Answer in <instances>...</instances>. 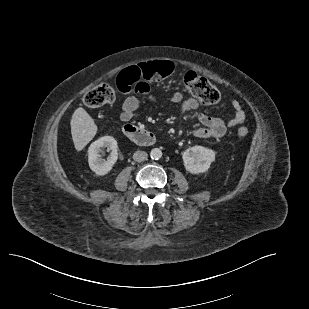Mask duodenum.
Masks as SVG:
<instances>
[{
    "mask_svg": "<svg viewBox=\"0 0 309 309\" xmlns=\"http://www.w3.org/2000/svg\"><path fill=\"white\" fill-rule=\"evenodd\" d=\"M123 133L131 141L143 146L152 145L156 140L155 135L152 132L134 125L124 126Z\"/></svg>",
    "mask_w": 309,
    "mask_h": 309,
    "instance_id": "1",
    "label": "duodenum"
}]
</instances>
